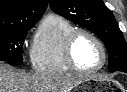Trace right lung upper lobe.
<instances>
[{"label": "right lung upper lobe", "instance_id": "cb5924a9", "mask_svg": "<svg viewBox=\"0 0 127 92\" xmlns=\"http://www.w3.org/2000/svg\"><path fill=\"white\" fill-rule=\"evenodd\" d=\"M47 4V0H0V29L35 25Z\"/></svg>", "mask_w": 127, "mask_h": 92}]
</instances>
